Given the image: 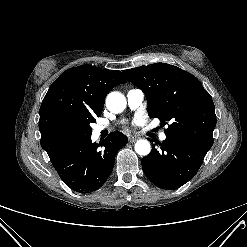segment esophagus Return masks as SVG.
<instances>
[{"label":"esophagus","mask_w":247,"mask_h":247,"mask_svg":"<svg viewBox=\"0 0 247 247\" xmlns=\"http://www.w3.org/2000/svg\"><path fill=\"white\" fill-rule=\"evenodd\" d=\"M138 139H139V137L138 136H134V135H130L128 137V140H129L130 143L136 142Z\"/></svg>","instance_id":"obj_1"}]
</instances>
